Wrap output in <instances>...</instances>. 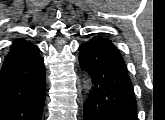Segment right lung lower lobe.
<instances>
[{"mask_svg":"<svg viewBox=\"0 0 165 120\" xmlns=\"http://www.w3.org/2000/svg\"><path fill=\"white\" fill-rule=\"evenodd\" d=\"M45 88L39 48L25 40L14 41L0 71V120H41Z\"/></svg>","mask_w":165,"mask_h":120,"instance_id":"obj_1","label":"right lung lower lobe"}]
</instances>
